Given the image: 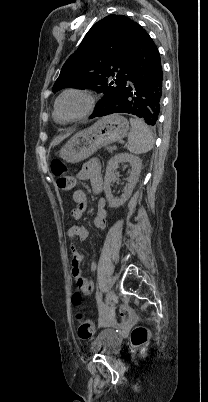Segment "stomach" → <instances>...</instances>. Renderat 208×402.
Returning <instances> with one entry per match:
<instances>
[{
    "label": "stomach",
    "mask_w": 208,
    "mask_h": 402,
    "mask_svg": "<svg viewBox=\"0 0 208 402\" xmlns=\"http://www.w3.org/2000/svg\"><path fill=\"white\" fill-rule=\"evenodd\" d=\"M129 122L119 114H111V116H104L98 120L94 126L82 130L75 134L59 152L60 158L69 162V164H76L90 158L94 152L119 142L128 134Z\"/></svg>",
    "instance_id": "stomach-1"
}]
</instances>
